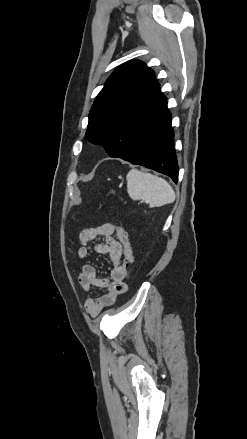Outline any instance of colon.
I'll return each instance as SVG.
<instances>
[{
	"mask_svg": "<svg viewBox=\"0 0 247 439\" xmlns=\"http://www.w3.org/2000/svg\"><path fill=\"white\" fill-rule=\"evenodd\" d=\"M109 228L116 234L118 241L123 247L124 263L127 267L132 266L134 262L133 249L126 230L112 223H108Z\"/></svg>",
	"mask_w": 247,
	"mask_h": 439,
	"instance_id": "1",
	"label": "colon"
}]
</instances>
